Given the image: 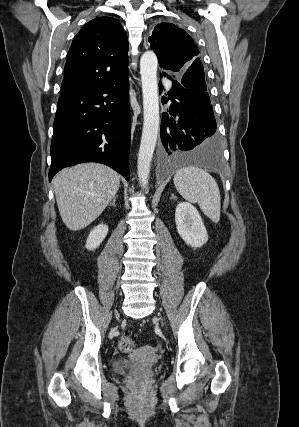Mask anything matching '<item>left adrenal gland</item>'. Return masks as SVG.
Masks as SVG:
<instances>
[{"instance_id":"a2214340","label":"left adrenal gland","mask_w":299,"mask_h":427,"mask_svg":"<svg viewBox=\"0 0 299 427\" xmlns=\"http://www.w3.org/2000/svg\"><path fill=\"white\" fill-rule=\"evenodd\" d=\"M174 198H175L174 194H171V199H174Z\"/></svg>"}]
</instances>
